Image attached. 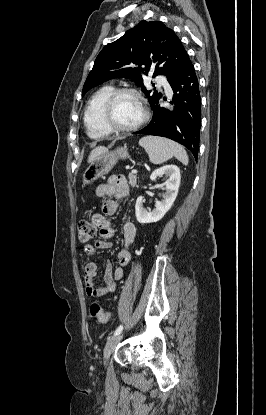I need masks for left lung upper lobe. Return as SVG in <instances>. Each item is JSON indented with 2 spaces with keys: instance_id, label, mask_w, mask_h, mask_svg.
Segmentation results:
<instances>
[{
  "instance_id": "5c2ea615",
  "label": "left lung upper lobe",
  "mask_w": 266,
  "mask_h": 415,
  "mask_svg": "<svg viewBox=\"0 0 266 415\" xmlns=\"http://www.w3.org/2000/svg\"><path fill=\"white\" fill-rule=\"evenodd\" d=\"M188 57L172 29L160 21H141L102 49L85 81L82 95L113 78L135 79L153 108L158 105L162 94L146 90L142 75H148L149 70H152L153 77L166 75L170 83ZM142 65L145 67L142 68Z\"/></svg>"
}]
</instances>
